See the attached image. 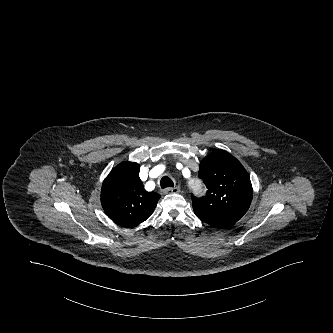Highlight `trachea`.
<instances>
[{"mask_svg":"<svg viewBox=\"0 0 333 333\" xmlns=\"http://www.w3.org/2000/svg\"><path fill=\"white\" fill-rule=\"evenodd\" d=\"M161 188L174 187L173 181L168 177L164 176L160 180Z\"/></svg>","mask_w":333,"mask_h":333,"instance_id":"1","label":"trachea"}]
</instances>
